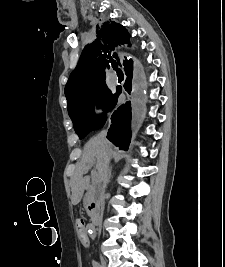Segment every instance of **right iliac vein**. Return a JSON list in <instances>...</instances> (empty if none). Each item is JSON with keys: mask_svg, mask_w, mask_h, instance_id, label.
Segmentation results:
<instances>
[{"mask_svg": "<svg viewBox=\"0 0 225 267\" xmlns=\"http://www.w3.org/2000/svg\"><path fill=\"white\" fill-rule=\"evenodd\" d=\"M100 267H107V262L103 257H100Z\"/></svg>", "mask_w": 225, "mask_h": 267, "instance_id": "1", "label": "right iliac vein"}]
</instances>
